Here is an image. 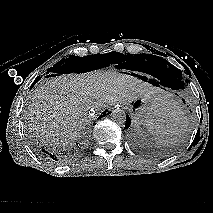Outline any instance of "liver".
Wrapping results in <instances>:
<instances>
[{
	"label": "liver",
	"instance_id": "1",
	"mask_svg": "<svg viewBox=\"0 0 213 213\" xmlns=\"http://www.w3.org/2000/svg\"><path fill=\"white\" fill-rule=\"evenodd\" d=\"M169 95L142 80L117 72H90L51 78L34 91L28 108L32 129L46 143L65 146L92 116L117 103L152 100L165 107Z\"/></svg>",
	"mask_w": 213,
	"mask_h": 213
}]
</instances>
